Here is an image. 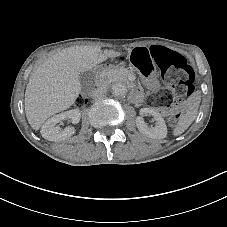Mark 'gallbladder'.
Segmentation results:
<instances>
[{
	"instance_id": "bac80fb5",
	"label": "gallbladder",
	"mask_w": 227,
	"mask_h": 227,
	"mask_svg": "<svg viewBox=\"0 0 227 227\" xmlns=\"http://www.w3.org/2000/svg\"><path fill=\"white\" fill-rule=\"evenodd\" d=\"M95 71L93 69L81 72L79 74V81L83 89L89 88L94 84Z\"/></svg>"
}]
</instances>
